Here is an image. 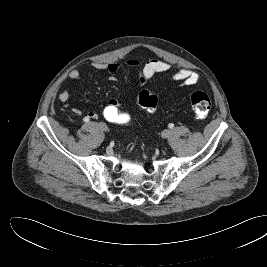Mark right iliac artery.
<instances>
[{"instance_id": "right-iliac-artery-1", "label": "right iliac artery", "mask_w": 267, "mask_h": 267, "mask_svg": "<svg viewBox=\"0 0 267 267\" xmlns=\"http://www.w3.org/2000/svg\"><path fill=\"white\" fill-rule=\"evenodd\" d=\"M84 121H85V122H88V121H89V119H87V118L85 117V118H84Z\"/></svg>"}]
</instances>
